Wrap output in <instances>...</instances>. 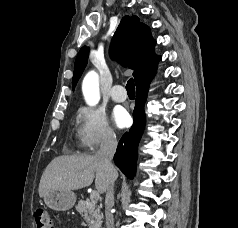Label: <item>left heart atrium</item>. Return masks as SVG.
Returning <instances> with one entry per match:
<instances>
[{"label":"left heart atrium","instance_id":"left-heart-atrium-1","mask_svg":"<svg viewBox=\"0 0 238 228\" xmlns=\"http://www.w3.org/2000/svg\"><path fill=\"white\" fill-rule=\"evenodd\" d=\"M113 121L118 128H123L130 124V116L123 108H117L113 112Z\"/></svg>","mask_w":238,"mask_h":228}]
</instances>
